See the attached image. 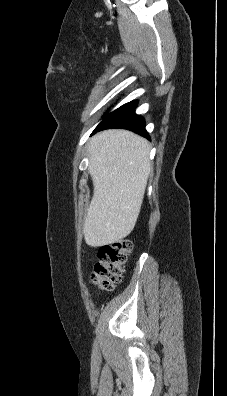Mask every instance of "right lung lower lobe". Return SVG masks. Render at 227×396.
Wrapping results in <instances>:
<instances>
[{"instance_id":"right-lung-lower-lobe-1","label":"right lung lower lobe","mask_w":227,"mask_h":396,"mask_svg":"<svg viewBox=\"0 0 227 396\" xmlns=\"http://www.w3.org/2000/svg\"><path fill=\"white\" fill-rule=\"evenodd\" d=\"M136 106L137 101H131L109 113L96 127L93 134L105 129L123 128L150 139L145 130L144 119L135 114Z\"/></svg>"}]
</instances>
